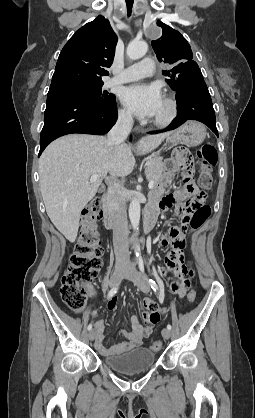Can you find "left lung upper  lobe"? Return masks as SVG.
I'll use <instances>...</instances> for the list:
<instances>
[{
  "label": "left lung upper lobe",
  "mask_w": 255,
  "mask_h": 418,
  "mask_svg": "<svg viewBox=\"0 0 255 418\" xmlns=\"http://www.w3.org/2000/svg\"><path fill=\"white\" fill-rule=\"evenodd\" d=\"M157 25L162 28V36L151 44L157 59L171 65L162 74L168 77L166 81L172 89L178 92L181 88L203 79L198 64L192 59V50L187 40L161 21Z\"/></svg>",
  "instance_id": "5c2ea615"
}]
</instances>
